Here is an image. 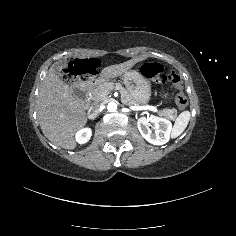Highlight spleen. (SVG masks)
<instances>
[{"instance_id":"1","label":"spleen","mask_w":236,"mask_h":236,"mask_svg":"<svg viewBox=\"0 0 236 236\" xmlns=\"http://www.w3.org/2000/svg\"><path fill=\"white\" fill-rule=\"evenodd\" d=\"M190 116L191 115L189 111H183L179 114L171 130L172 138H177L179 135L182 134V132L185 130L189 123Z\"/></svg>"}]
</instances>
